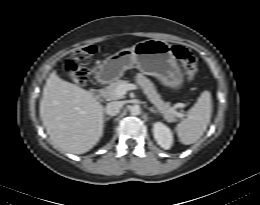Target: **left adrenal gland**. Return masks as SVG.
<instances>
[{
  "mask_svg": "<svg viewBox=\"0 0 260 205\" xmlns=\"http://www.w3.org/2000/svg\"><path fill=\"white\" fill-rule=\"evenodd\" d=\"M147 109H148L150 112H152V113H157V111L154 110L152 107H147Z\"/></svg>",
  "mask_w": 260,
  "mask_h": 205,
  "instance_id": "obj_1",
  "label": "left adrenal gland"
}]
</instances>
